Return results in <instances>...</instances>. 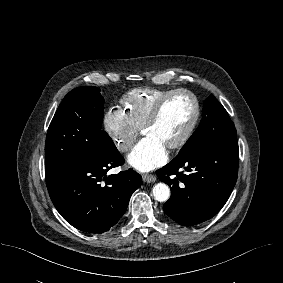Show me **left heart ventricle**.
Instances as JSON below:
<instances>
[{
    "label": "left heart ventricle",
    "mask_w": 283,
    "mask_h": 283,
    "mask_svg": "<svg viewBox=\"0 0 283 283\" xmlns=\"http://www.w3.org/2000/svg\"><path fill=\"white\" fill-rule=\"evenodd\" d=\"M194 116V104L186 95L172 97L164 106L157 122L143 131L165 147L176 142L186 131Z\"/></svg>",
    "instance_id": "b2bd125f"
}]
</instances>
